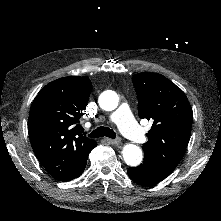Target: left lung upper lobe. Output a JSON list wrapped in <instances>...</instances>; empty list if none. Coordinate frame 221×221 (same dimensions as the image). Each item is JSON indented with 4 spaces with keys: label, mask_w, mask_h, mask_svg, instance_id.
<instances>
[{
    "label": "left lung upper lobe",
    "mask_w": 221,
    "mask_h": 221,
    "mask_svg": "<svg viewBox=\"0 0 221 221\" xmlns=\"http://www.w3.org/2000/svg\"><path fill=\"white\" fill-rule=\"evenodd\" d=\"M140 118L153 120L144 158L171 173L181 161L188 145L193 112L184 92L158 73L133 76Z\"/></svg>",
    "instance_id": "left-lung-upper-lobe-1"
}]
</instances>
